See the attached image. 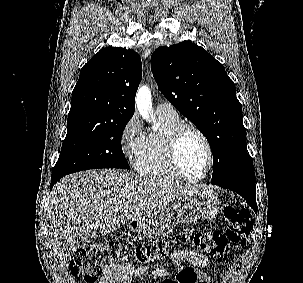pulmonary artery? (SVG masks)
<instances>
[{
    "mask_svg": "<svg viewBox=\"0 0 303 283\" xmlns=\"http://www.w3.org/2000/svg\"><path fill=\"white\" fill-rule=\"evenodd\" d=\"M157 112L163 113V114H176V111L173 109L172 105L168 102H162L159 103L156 107Z\"/></svg>",
    "mask_w": 303,
    "mask_h": 283,
    "instance_id": "1",
    "label": "pulmonary artery"
}]
</instances>
